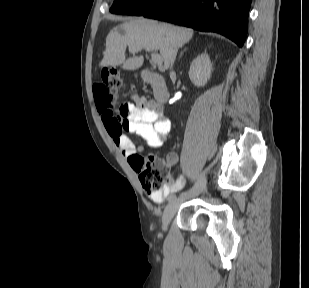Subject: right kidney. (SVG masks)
Listing matches in <instances>:
<instances>
[{"mask_svg": "<svg viewBox=\"0 0 309 288\" xmlns=\"http://www.w3.org/2000/svg\"><path fill=\"white\" fill-rule=\"evenodd\" d=\"M212 64L208 54L199 55L190 65L189 78L197 87L206 85L210 79Z\"/></svg>", "mask_w": 309, "mask_h": 288, "instance_id": "obj_1", "label": "right kidney"}]
</instances>
